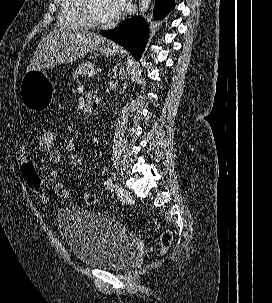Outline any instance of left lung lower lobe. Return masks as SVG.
<instances>
[{"instance_id": "0a47b994", "label": "left lung lower lobe", "mask_w": 272, "mask_h": 303, "mask_svg": "<svg viewBox=\"0 0 272 303\" xmlns=\"http://www.w3.org/2000/svg\"><path fill=\"white\" fill-rule=\"evenodd\" d=\"M175 7L174 0H156L155 13L163 18ZM100 34L127 49L136 59H140L145 48L148 32L141 16L125 20L117 28L101 31Z\"/></svg>"}]
</instances>
